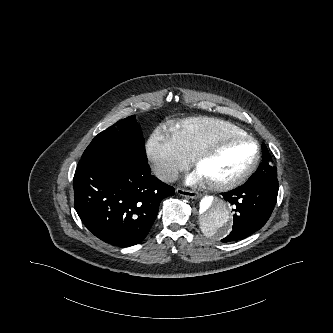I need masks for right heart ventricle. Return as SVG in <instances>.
Returning a JSON list of instances; mask_svg holds the SVG:
<instances>
[{"label":"right heart ventricle","instance_id":"right-heart-ventricle-1","mask_svg":"<svg viewBox=\"0 0 333 333\" xmlns=\"http://www.w3.org/2000/svg\"><path fill=\"white\" fill-rule=\"evenodd\" d=\"M180 150L192 159L194 154L212 138L225 134H247L243 129L227 121L212 117L184 119L170 129Z\"/></svg>","mask_w":333,"mask_h":333}]
</instances>
